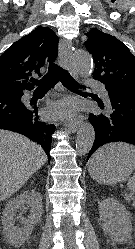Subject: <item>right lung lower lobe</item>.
Wrapping results in <instances>:
<instances>
[{"mask_svg": "<svg viewBox=\"0 0 135 249\" xmlns=\"http://www.w3.org/2000/svg\"><path fill=\"white\" fill-rule=\"evenodd\" d=\"M23 92H0V129L18 132L39 143L50 160L53 124L39 119L37 107L22 101Z\"/></svg>", "mask_w": 135, "mask_h": 249, "instance_id": "98d812e1", "label": "right lung lower lobe"}]
</instances>
